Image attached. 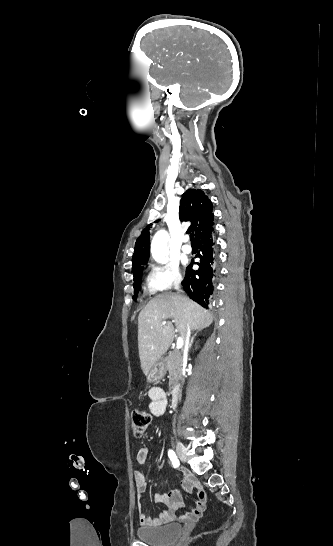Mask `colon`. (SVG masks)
<instances>
[{"label": "colon", "mask_w": 333, "mask_h": 546, "mask_svg": "<svg viewBox=\"0 0 333 546\" xmlns=\"http://www.w3.org/2000/svg\"><path fill=\"white\" fill-rule=\"evenodd\" d=\"M151 413L142 408L135 409L132 413V430L136 437H142L151 423Z\"/></svg>", "instance_id": "5ec220e1"}]
</instances>
